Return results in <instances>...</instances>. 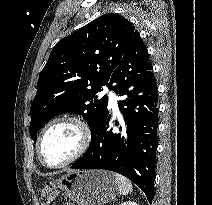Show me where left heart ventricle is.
Instances as JSON below:
<instances>
[{
  "label": "left heart ventricle",
  "instance_id": "b2bd125f",
  "mask_svg": "<svg viewBox=\"0 0 212 205\" xmlns=\"http://www.w3.org/2000/svg\"><path fill=\"white\" fill-rule=\"evenodd\" d=\"M80 136L77 128L69 123L53 126L45 135L42 154L49 164L60 163L69 158L78 148Z\"/></svg>",
  "mask_w": 212,
  "mask_h": 205
}]
</instances>
